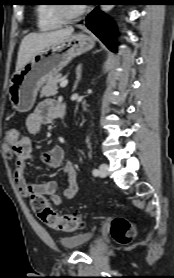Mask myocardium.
I'll list each match as a JSON object with an SVG mask.
<instances>
[{
  "mask_svg": "<svg viewBox=\"0 0 174 278\" xmlns=\"http://www.w3.org/2000/svg\"><path fill=\"white\" fill-rule=\"evenodd\" d=\"M56 12L60 19L68 22L81 17L85 13V7L73 10L70 5L59 4L56 6Z\"/></svg>",
  "mask_w": 174,
  "mask_h": 278,
  "instance_id": "myocardium-1",
  "label": "myocardium"
}]
</instances>
